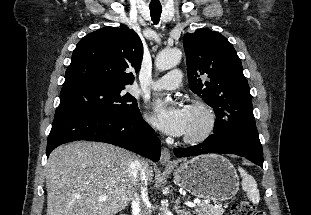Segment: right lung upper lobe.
<instances>
[{"label": "right lung upper lobe", "mask_w": 311, "mask_h": 215, "mask_svg": "<svg viewBox=\"0 0 311 215\" xmlns=\"http://www.w3.org/2000/svg\"><path fill=\"white\" fill-rule=\"evenodd\" d=\"M143 45L128 27H104L76 45L63 86L94 83L124 88L141 67Z\"/></svg>", "instance_id": "1"}]
</instances>
